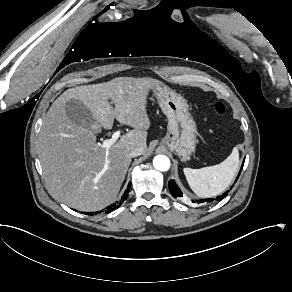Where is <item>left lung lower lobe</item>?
<instances>
[{
    "instance_id": "0a47b994",
    "label": "left lung lower lobe",
    "mask_w": 292,
    "mask_h": 292,
    "mask_svg": "<svg viewBox=\"0 0 292 292\" xmlns=\"http://www.w3.org/2000/svg\"><path fill=\"white\" fill-rule=\"evenodd\" d=\"M243 165H244V163L242 164L240 172L242 171ZM238 177H239V175L237 176V179H238ZM169 190L174 198H180L183 196L182 191L180 190V188L178 187V185L175 183L174 180L169 181ZM227 195H228V191H226L225 193H223L220 196H217L216 200L219 201V200L223 199L224 197H226ZM213 201H214L213 198H209V199H200L197 202L198 203H204V202L209 203V202H213Z\"/></svg>"
}]
</instances>
